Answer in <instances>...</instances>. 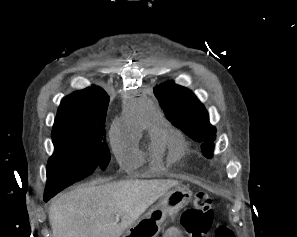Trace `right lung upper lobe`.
<instances>
[{
  "label": "right lung upper lobe",
  "mask_w": 297,
  "mask_h": 237,
  "mask_svg": "<svg viewBox=\"0 0 297 237\" xmlns=\"http://www.w3.org/2000/svg\"><path fill=\"white\" fill-rule=\"evenodd\" d=\"M109 96L100 87L92 85L63 98L53 128L64 125H105Z\"/></svg>",
  "instance_id": "right-lung-upper-lobe-1"
}]
</instances>
